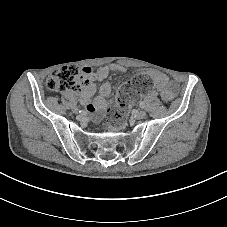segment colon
<instances>
[{
  "mask_svg": "<svg viewBox=\"0 0 227 227\" xmlns=\"http://www.w3.org/2000/svg\"><path fill=\"white\" fill-rule=\"evenodd\" d=\"M153 81L147 74H139L132 80L123 84L117 95V106L109 115L116 125L125 122L129 106L136 102L142 93L150 91ZM46 87L50 91L74 90L80 91L82 88L79 70L73 66H64L54 72L46 81Z\"/></svg>",
  "mask_w": 227,
  "mask_h": 227,
  "instance_id": "1",
  "label": "colon"
}]
</instances>
